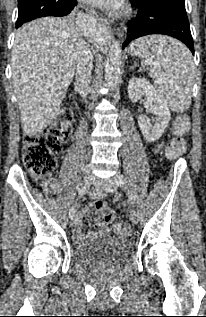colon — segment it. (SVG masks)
I'll return each mask as SVG.
<instances>
[{
  "label": "colon",
  "mask_w": 206,
  "mask_h": 317,
  "mask_svg": "<svg viewBox=\"0 0 206 317\" xmlns=\"http://www.w3.org/2000/svg\"><path fill=\"white\" fill-rule=\"evenodd\" d=\"M72 117L70 110L62 109L55 120L41 133L27 135L24 138L23 160L33 179L43 180L54 170L62 145L70 136ZM189 128L190 122L186 115L176 117L173 124L175 137L169 142L165 151L169 159H175L185 153L184 136L188 134ZM94 209L105 222L113 221L114 215L104 201H96ZM114 230L123 236L130 233V227L126 223L115 224Z\"/></svg>",
  "instance_id": "colon-1"
}]
</instances>
